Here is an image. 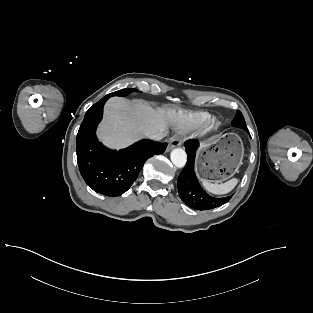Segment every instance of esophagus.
Returning <instances> with one entry per match:
<instances>
[{
  "instance_id": "obj_1",
  "label": "esophagus",
  "mask_w": 313,
  "mask_h": 313,
  "mask_svg": "<svg viewBox=\"0 0 313 313\" xmlns=\"http://www.w3.org/2000/svg\"><path fill=\"white\" fill-rule=\"evenodd\" d=\"M180 145H181V141L179 139H172L168 145V150H171Z\"/></svg>"
}]
</instances>
